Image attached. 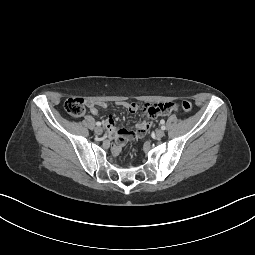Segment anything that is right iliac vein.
Here are the masks:
<instances>
[{
    "label": "right iliac vein",
    "mask_w": 255,
    "mask_h": 255,
    "mask_svg": "<svg viewBox=\"0 0 255 255\" xmlns=\"http://www.w3.org/2000/svg\"><path fill=\"white\" fill-rule=\"evenodd\" d=\"M95 133H96L97 135H101V134L103 133V129H102L101 127H96V128H95Z\"/></svg>",
    "instance_id": "obj_1"
}]
</instances>
